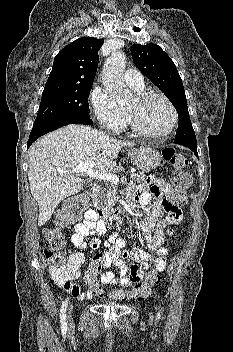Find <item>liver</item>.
<instances>
[{"mask_svg": "<svg viewBox=\"0 0 233 352\" xmlns=\"http://www.w3.org/2000/svg\"><path fill=\"white\" fill-rule=\"evenodd\" d=\"M135 144L120 141L85 125H67L36 141L29 150L30 191L39 206L38 225H44L62 200L79 193L84 181L71 171L77 165L94 162L98 172L116 166L122 147Z\"/></svg>", "mask_w": 233, "mask_h": 352, "instance_id": "liver-1", "label": "liver"}]
</instances>
